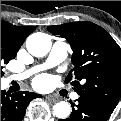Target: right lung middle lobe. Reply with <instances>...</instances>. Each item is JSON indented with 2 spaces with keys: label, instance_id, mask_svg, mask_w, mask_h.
Segmentation results:
<instances>
[{
  "label": "right lung middle lobe",
  "instance_id": "right-lung-middle-lobe-1",
  "mask_svg": "<svg viewBox=\"0 0 121 121\" xmlns=\"http://www.w3.org/2000/svg\"><path fill=\"white\" fill-rule=\"evenodd\" d=\"M20 46L21 44L11 40L5 34H1V76L4 74L2 71L3 64H7L11 59L15 58Z\"/></svg>",
  "mask_w": 121,
  "mask_h": 121
}]
</instances>
